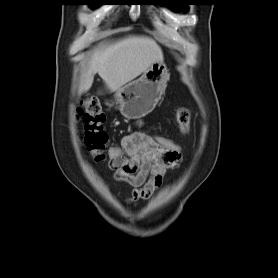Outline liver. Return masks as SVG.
Segmentation results:
<instances>
[{
    "mask_svg": "<svg viewBox=\"0 0 278 278\" xmlns=\"http://www.w3.org/2000/svg\"><path fill=\"white\" fill-rule=\"evenodd\" d=\"M160 61H163L160 46L147 36H127L103 42L92 51L78 91H89L96 73L104 81L107 91H117Z\"/></svg>",
    "mask_w": 278,
    "mask_h": 278,
    "instance_id": "6515ba94",
    "label": "liver"
}]
</instances>
